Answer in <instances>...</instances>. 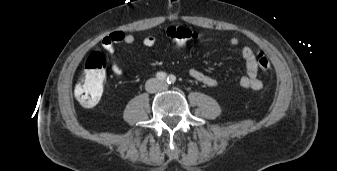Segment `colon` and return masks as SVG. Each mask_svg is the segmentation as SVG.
Returning a JSON list of instances; mask_svg holds the SVG:
<instances>
[{
    "mask_svg": "<svg viewBox=\"0 0 337 171\" xmlns=\"http://www.w3.org/2000/svg\"><path fill=\"white\" fill-rule=\"evenodd\" d=\"M164 33L180 45L196 37L195 32L181 26L168 27ZM257 64L263 73L270 70V62L261 52L258 53ZM105 69V56L100 51H93L88 56L83 73L75 86L77 100L82 106L93 107L100 101L105 83Z\"/></svg>",
    "mask_w": 337,
    "mask_h": 171,
    "instance_id": "1",
    "label": "colon"
}]
</instances>
